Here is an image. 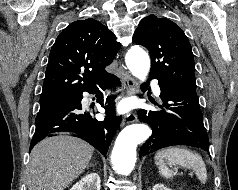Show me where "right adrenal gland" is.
Here are the masks:
<instances>
[{
	"instance_id": "1",
	"label": "right adrenal gland",
	"mask_w": 238,
	"mask_h": 190,
	"mask_svg": "<svg viewBox=\"0 0 238 190\" xmlns=\"http://www.w3.org/2000/svg\"><path fill=\"white\" fill-rule=\"evenodd\" d=\"M94 165H96V164L90 163V165L87 166V169H88L89 167H91V166H94Z\"/></svg>"
}]
</instances>
